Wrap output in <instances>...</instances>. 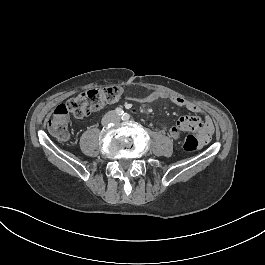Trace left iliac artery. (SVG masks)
I'll list each match as a JSON object with an SVG mask.
<instances>
[{
    "mask_svg": "<svg viewBox=\"0 0 265 265\" xmlns=\"http://www.w3.org/2000/svg\"><path fill=\"white\" fill-rule=\"evenodd\" d=\"M130 118V115L128 113H124V115L122 116V120L124 121H128Z\"/></svg>",
    "mask_w": 265,
    "mask_h": 265,
    "instance_id": "44dca946",
    "label": "left iliac artery"
}]
</instances>
